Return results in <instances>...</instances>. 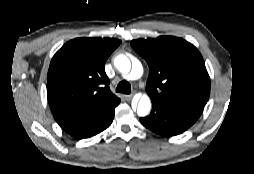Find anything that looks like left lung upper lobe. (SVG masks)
Segmentation results:
<instances>
[{
    "instance_id": "1",
    "label": "left lung upper lobe",
    "mask_w": 254,
    "mask_h": 174,
    "mask_svg": "<svg viewBox=\"0 0 254 174\" xmlns=\"http://www.w3.org/2000/svg\"><path fill=\"white\" fill-rule=\"evenodd\" d=\"M150 68L146 92L152 101L201 115L210 77L197 48L182 38L159 36L131 41Z\"/></svg>"
}]
</instances>
